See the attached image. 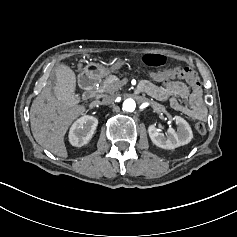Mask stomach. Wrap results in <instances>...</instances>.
I'll return each instance as SVG.
<instances>
[{
  "label": "stomach",
  "instance_id": "0dacf381",
  "mask_svg": "<svg viewBox=\"0 0 237 237\" xmlns=\"http://www.w3.org/2000/svg\"><path fill=\"white\" fill-rule=\"evenodd\" d=\"M125 64V59L121 57H114L112 60L109 62L107 67H104L102 65L96 64V67L98 69V77H106L107 75L111 73H116L120 71Z\"/></svg>",
  "mask_w": 237,
  "mask_h": 237
}]
</instances>
